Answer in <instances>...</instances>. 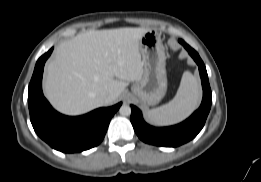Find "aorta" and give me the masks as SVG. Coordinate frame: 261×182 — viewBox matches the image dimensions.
<instances>
[{
    "label": "aorta",
    "mask_w": 261,
    "mask_h": 182,
    "mask_svg": "<svg viewBox=\"0 0 261 182\" xmlns=\"http://www.w3.org/2000/svg\"><path fill=\"white\" fill-rule=\"evenodd\" d=\"M119 113L122 115V116H129L131 114V108L130 106L128 105H123L120 107L119 109Z\"/></svg>",
    "instance_id": "obj_1"
}]
</instances>
